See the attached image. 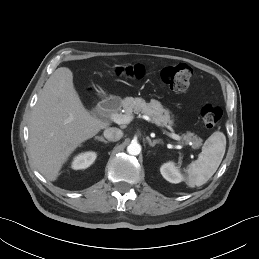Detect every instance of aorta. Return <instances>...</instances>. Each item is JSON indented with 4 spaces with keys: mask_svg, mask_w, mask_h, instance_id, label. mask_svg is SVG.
<instances>
[{
    "mask_svg": "<svg viewBox=\"0 0 259 259\" xmlns=\"http://www.w3.org/2000/svg\"><path fill=\"white\" fill-rule=\"evenodd\" d=\"M127 152L130 155H139L141 152V145L138 143H131L128 147H127Z\"/></svg>",
    "mask_w": 259,
    "mask_h": 259,
    "instance_id": "obj_1",
    "label": "aorta"
}]
</instances>
